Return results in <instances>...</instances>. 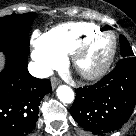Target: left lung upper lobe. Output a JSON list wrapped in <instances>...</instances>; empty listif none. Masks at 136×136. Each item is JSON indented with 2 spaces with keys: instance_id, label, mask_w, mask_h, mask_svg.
Listing matches in <instances>:
<instances>
[{
  "instance_id": "5c2ea615",
  "label": "left lung upper lobe",
  "mask_w": 136,
  "mask_h": 136,
  "mask_svg": "<svg viewBox=\"0 0 136 136\" xmlns=\"http://www.w3.org/2000/svg\"><path fill=\"white\" fill-rule=\"evenodd\" d=\"M119 40H120V53H121L122 58L133 57L134 53L127 39L121 35L119 36Z\"/></svg>"
}]
</instances>
